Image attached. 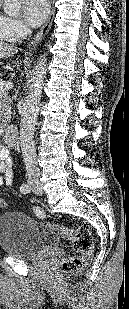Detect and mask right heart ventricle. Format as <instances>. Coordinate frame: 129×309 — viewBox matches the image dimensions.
Wrapping results in <instances>:
<instances>
[{
    "instance_id": "obj_1",
    "label": "right heart ventricle",
    "mask_w": 129,
    "mask_h": 309,
    "mask_svg": "<svg viewBox=\"0 0 129 309\" xmlns=\"http://www.w3.org/2000/svg\"><path fill=\"white\" fill-rule=\"evenodd\" d=\"M14 41L7 31V17L0 13V43Z\"/></svg>"
}]
</instances>
